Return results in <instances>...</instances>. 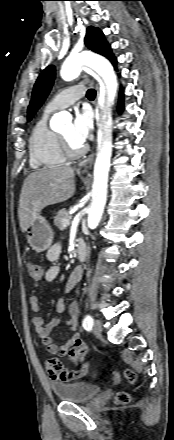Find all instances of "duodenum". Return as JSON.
<instances>
[{"mask_svg":"<svg viewBox=\"0 0 174 440\" xmlns=\"http://www.w3.org/2000/svg\"><path fill=\"white\" fill-rule=\"evenodd\" d=\"M76 253L79 261H84L88 255L87 245L83 240L76 242Z\"/></svg>","mask_w":174,"mask_h":440,"instance_id":"410a0bca","label":"duodenum"}]
</instances>
